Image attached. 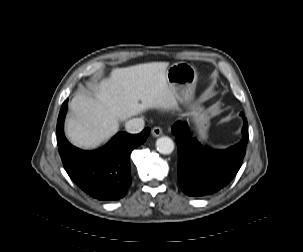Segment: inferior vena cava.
I'll use <instances>...</instances> for the list:
<instances>
[{
    "instance_id": "602c4592",
    "label": "inferior vena cava",
    "mask_w": 303,
    "mask_h": 252,
    "mask_svg": "<svg viewBox=\"0 0 303 252\" xmlns=\"http://www.w3.org/2000/svg\"><path fill=\"white\" fill-rule=\"evenodd\" d=\"M144 120L142 118H132L125 123V129L127 132L136 134L143 130Z\"/></svg>"
}]
</instances>
